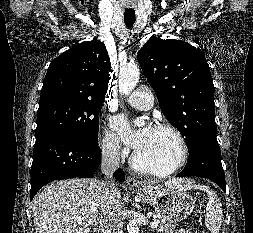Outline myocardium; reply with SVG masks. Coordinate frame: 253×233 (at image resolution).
<instances>
[{
    "label": "myocardium",
    "instance_id": "obj_1",
    "mask_svg": "<svg viewBox=\"0 0 253 233\" xmlns=\"http://www.w3.org/2000/svg\"><path fill=\"white\" fill-rule=\"evenodd\" d=\"M151 128L156 129V130L169 131L170 133H172L176 137V139L178 140V142L180 144V148H181V154H180V158H179L178 162L175 163L169 169L159 170V169L152 168V167H149V166L141 163L137 158L136 152H134L131 157V165L134 169H136L137 171L144 173V174L158 176V177L169 176V175L177 172L182 167H184L185 164L187 163L188 158H189V146H188L187 140H186L185 136L183 135V133L176 126H174L171 123L159 122V123L154 124Z\"/></svg>",
    "mask_w": 253,
    "mask_h": 233
}]
</instances>
